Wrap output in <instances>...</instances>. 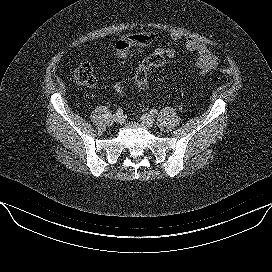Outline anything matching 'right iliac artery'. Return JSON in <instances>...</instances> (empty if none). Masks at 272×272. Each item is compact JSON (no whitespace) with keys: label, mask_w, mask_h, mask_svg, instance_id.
I'll return each instance as SVG.
<instances>
[{"label":"right iliac artery","mask_w":272,"mask_h":272,"mask_svg":"<svg viewBox=\"0 0 272 272\" xmlns=\"http://www.w3.org/2000/svg\"><path fill=\"white\" fill-rule=\"evenodd\" d=\"M123 113V110L121 108L117 109L116 114L121 115Z\"/></svg>","instance_id":"right-iliac-artery-1"}]
</instances>
